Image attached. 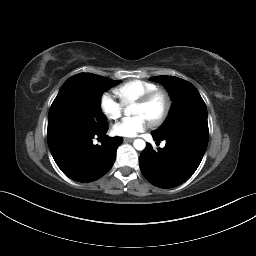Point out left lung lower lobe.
<instances>
[{"mask_svg":"<svg viewBox=\"0 0 256 256\" xmlns=\"http://www.w3.org/2000/svg\"><path fill=\"white\" fill-rule=\"evenodd\" d=\"M166 140L164 148L153 150L147 143L142 151L139 164L144 177L160 188L176 187L187 181L198 168L207 146L186 138L159 139Z\"/></svg>","mask_w":256,"mask_h":256,"instance_id":"1","label":"left lung lower lobe"}]
</instances>
